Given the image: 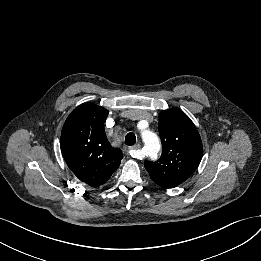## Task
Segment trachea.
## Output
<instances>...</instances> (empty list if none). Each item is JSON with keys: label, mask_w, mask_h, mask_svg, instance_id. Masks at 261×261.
Here are the masks:
<instances>
[{"label": "trachea", "mask_w": 261, "mask_h": 261, "mask_svg": "<svg viewBox=\"0 0 261 261\" xmlns=\"http://www.w3.org/2000/svg\"><path fill=\"white\" fill-rule=\"evenodd\" d=\"M136 143V136L134 133H128L125 137V144L132 146Z\"/></svg>", "instance_id": "trachea-1"}]
</instances>
